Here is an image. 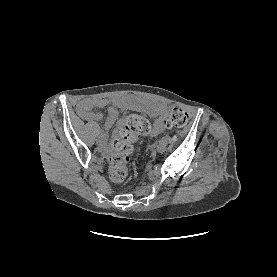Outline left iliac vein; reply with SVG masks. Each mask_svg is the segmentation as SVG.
Returning a JSON list of instances; mask_svg holds the SVG:
<instances>
[{"mask_svg":"<svg viewBox=\"0 0 277 277\" xmlns=\"http://www.w3.org/2000/svg\"><path fill=\"white\" fill-rule=\"evenodd\" d=\"M165 150H166V144H163V143H160L156 148V151L158 153H163Z\"/></svg>","mask_w":277,"mask_h":277,"instance_id":"left-iliac-vein-1","label":"left iliac vein"}]
</instances>
